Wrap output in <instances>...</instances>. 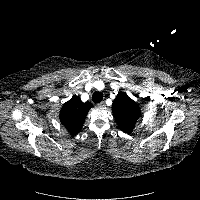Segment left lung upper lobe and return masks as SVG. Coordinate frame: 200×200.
Returning <instances> with one entry per match:
<instances>
[{
  "label": "left lung upper lobe",
  "instance_id": "obj_1",
  "mask_svg": "<svg viewBox=\"0 0 200 200\" xmlns=\"http://www.w3.org/2000/svg\"><path fill=\"white\" fill-rule=\"evenodd\" d=\"M113 115L120 128L130 133L137 122L141 111L139 106L124 92L118 93L112 104Z\"/></svg>",
  "mask_w": 200,
  "mask_h": 200
}]
</instances>
